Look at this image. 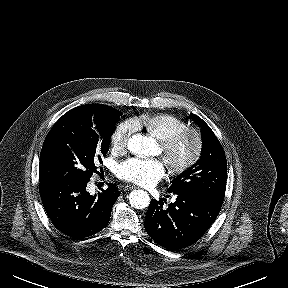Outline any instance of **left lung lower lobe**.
<instances>
[{
    "instance_id": "left-lung-lower-lobe-1",
    "label": "left lung lower lobe",
    "mask_w": 288,
    "mask_h": 288,
    "mask_svg": "<svg viewBox=\"0 0 288 288\" xmlns=\"http://www.w3.org/2000/svg\"><path fill=\"white\" fill-rule=\"evenodd\" d=\"M165 208V199H152L145 216L147 234L167 250H179L197 242L218 216L222 204L206 197L175 194Z\"/></svg>"
}]
</instances>
